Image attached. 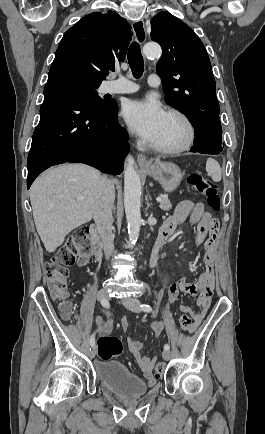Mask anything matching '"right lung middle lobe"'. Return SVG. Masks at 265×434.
I'll list each match as a JSON object with an SVG mask.
<instances>
[{"label": "right lung middle lobe", "mask_w": 265, "mask_h": 434, "mask_svg": "<svg viewBox=\"0 0 265 434\" xmlns=\"http://www.w3.org/2000/svg\"><path fill=\"white\" fill-rule=\"evenodd\" d=\"M47 83H63L74 87L86 98L89 105L95 109L110 108L116 104L114 100H104L98 96L96 89L100 86L101 81L85 76L57 74L48 76Z\"/></svg>", "instance_id": "obj_1"}]
</instances>
